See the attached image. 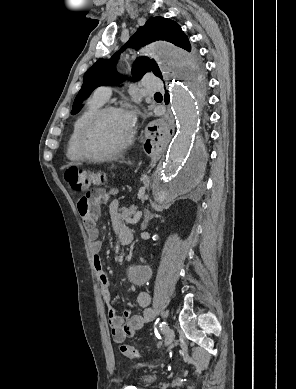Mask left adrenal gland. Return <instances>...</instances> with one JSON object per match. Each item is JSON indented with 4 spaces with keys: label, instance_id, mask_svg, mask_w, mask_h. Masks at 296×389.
I'll list each match as a JSON object with an SVG mask.
<instances>
[{
    "label": "left adrenal gland",
    "instance_id": "1",
    "mask_svg": "<svg viewBox=\"0 0 296 389\" xmlns=\"http://www.w3.org/2000/svg\"><path fill=\"white\" fill-rule=\"evenodd\" d=\"M153 214L150 213L149 210L144 211V220L141 224V230H145L148 226V222L153 218Z\"/></svg>",
    "mask_w": 296,
    "mask_h": 389
}]
</instances>
